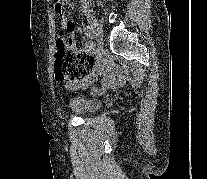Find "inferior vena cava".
Wrapping results in <instances>:
<instances>
[{
  "instance_id": "602c4592",
  "label": "inferior vena cava",
  "mask_w": 207,
  "mask_h": 179,
  "mask_svg": "<svg viewBox=\"0 0 207 179\" xmlns=\"http://www.w3.org/2000/svg\"><path fill=\"white\" fill-rule=\"evenodd\" d=\"M87 0H81V2H86Z\"/></svg>"
}]
</instances>
